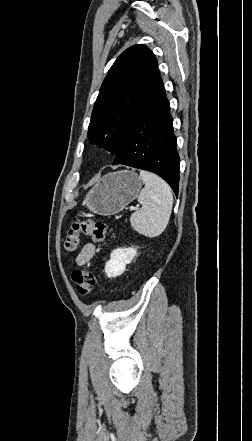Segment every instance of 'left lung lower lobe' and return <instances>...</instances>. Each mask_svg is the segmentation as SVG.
<instances>
[{
	"label": "left lung lower lobe",
	"instance_id": "1",
	"mask_svg": "<svg viewBox=\"0 0 252 441\" xmlns=\"http://www.w3.org/2000/svg\"><path fill=\"white\" fill-rule=\"evenodd\" d=\"M169 101L159 71L113 165L123 164L159 175L178 194L179 155Z\"/></svg>",
	"mask_w": 252,
	"mask_h": 441
}]
</instances>
